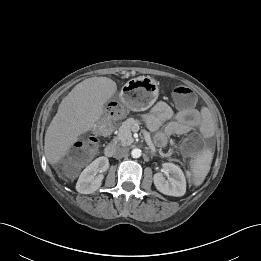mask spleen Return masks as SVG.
Listing matches in <instances>:
<instances>
[{"label":"spleen","mask_w":261,"mask_h":261,"mask_svg":"<svg viewBox=\"0 0 261 261\" xmlns=\"http://www.w3.org/2000/svg\"><path fill=\"white\" fill-rule=\"evenodd\" d=\"M213 153L210 149H204L192 163V180L196 186L203 183L210 171Z\"/></svg>","instance_id":"spleen-1"}]
</instances>
